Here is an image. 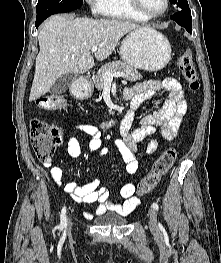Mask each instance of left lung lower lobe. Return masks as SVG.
I'll list each match as a JSON object with an SVG mask.
<instances>
[{
	"instance_id": "1",
	"label": "left lung lower lobe",
	"mask_w": 221,
	"mask_h": 263,
	"mask_svg": "<svg viewBox=\"0 0 221 263\" xmlns=\"http://www.w3.org/2000/svg\"><path fill=\"white\" fill-rule=\"evenodd\" d=\"M170 18L176 21L180 26H183L189 33H192V17L189 8H184L170 16Z\"/></svg>"
}]
</instances>
